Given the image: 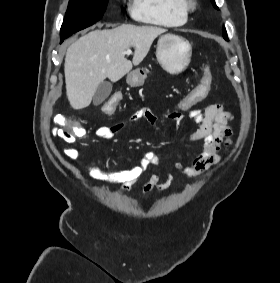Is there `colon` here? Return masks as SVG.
Returning <instances> with one entry per match:
<instances>
[{"instance_id":"colon-1","label":"colon","mask_w":280,"mask_h":283,"mask_svg":"<svg viewBox=\"0 0 280 283\" xmlns=\"http://www.w3.org/2000/svg\"><path fill=\"white\" fill-rule=\"evenodd\" d=\"M211 73H204L194 87L188 91V94H183L180 97L176 107H171V112H188L189 108H195L199 102H205L208 95H212ZM111 99H105L103 106L104 116H117L115 111L116 104L123 98L122 94H111ZM55 123L58 125L56 136L64 143L71 144L75 141L78 135L83 133L82 128L75 122L63 118L60 114L55 115Z\"/></svg>"}]
</instances>
